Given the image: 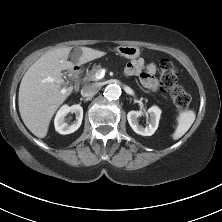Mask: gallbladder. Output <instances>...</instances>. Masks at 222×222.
Here are the masks:
<instances>
[{
    "instance_id": "gallbladder-1",
    "label": "gallbladder",
    "mask_w": 222,
    "mask_h": 222,
    "mask_svg": "<svg viewBox=\"0 0 222 222\" xmlns=\"http://www.w3.org/2000/svg\"><path fill=\"white\" fill-rule=\"evenodd\" d=\"M79 50H80L79 48H75V50H74V51H75V52H78Z\"/></svg>"
}]
</instances>
